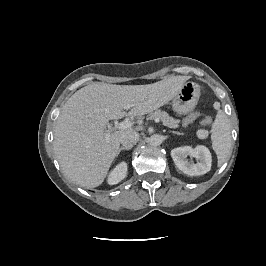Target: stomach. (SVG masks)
Listing matches in <instances>:
<instances>
[{
  "instance_id": "1",
  "label": "stomach",
  "mask_w": 266,
  "mask_h": 266,
  "mask_svg": "<svg viewBox=\"0 0 266 266\" xmlns=\"http://www.w3.org/2000/svg\"><path fill=\"white\" fill-rule=\"evenodd\" d=\"M200 97V86L188 81L172 98V108L179 115H185L194 110Z\"/></svg>"
}]
</instances>
